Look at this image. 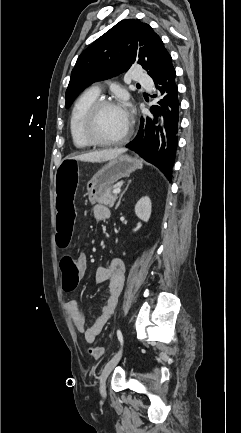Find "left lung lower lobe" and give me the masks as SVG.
Instances as JSON below:
<instances>
[{
    "mask_svg": "<svg viewBox=\"0 0 241 433\" xmlns=\"http://www.w3.org/2000/svg\"><path fill=\"white\" fill-rule=\"evenodd\" d=\"M176 72L171 64L161 78L154 81L157 105L150 109L152 117L141 120L137 136L126 145L146 161L154 164L169 179L172 178L178 144L179 99Z\"/></svg>",
    "mask_w": 241,
    "mask_h": 433,
    "instance_id": "obj_1",
    "label": "left lung lower lobe"
}]
</instances>
